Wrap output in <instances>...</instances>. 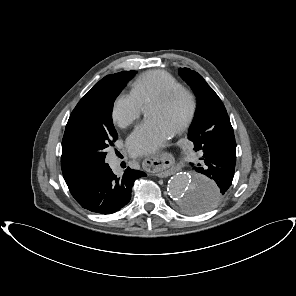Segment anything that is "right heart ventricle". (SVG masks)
<instances>
[{"label":"right heart ventricle","mask_w":296,"mask_h":296,"mask_svg":"<svg viewBox=\"0 0 296 296\" xmlns=\"http://www.w3.org/2000/svg\"><path fill=\"white\" fill-rule=\"evenodd\" d=\"M178 86H181L180 82L170 73L152 70L143 73L132 83L130 94L142 106L154 97Z\"/></svg>","instance_id":"1"}]
</instances>
